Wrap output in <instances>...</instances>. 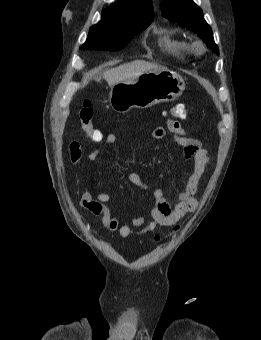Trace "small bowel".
Here are the masks:
<instances>
[{
    "label": "small bowel",
    "instance_id": "1",
    "mask_svg": "<svg viewBox=\"0 0 261 340\" xmlns=\"http://www.w3.org/2000/svg\"><path fill=\"white\" fill-rule=\"evenodd\" d=\"M167 128L174 134L177 144L183 148L185 157L193 160V171L187 179L185 188L180 192L174 204H170L166 200L162 189H153L152 195L155 199V204L150 211L151 221L145 222L143 218H136L131 224H121L120 221L110 213L107 207V203L111 197L108 192L102 191L94 195L90 190H86L79 196L78 203L84 210L101 217L103 227L110 231L118 232L122 238L129 237L134 230H136L138 236H141L155 231L160 226L173 225L184 217V215L193 212L197 208L198 202L195 195L198 191L202 176L210 163L209 153L202 147L198 140L186 135V132L179 122L168 120ZM165 134L166 130L161 126L152 130V137L155 139H162ZM102 140H104L107 145H111L116 142L117 135L110 133L103 137ZM68 152L73 164L81 165L83 163V151L78 142H71ZM101 152V148H95L87 155L86 161L94 163ZM127 178L132 184L142 189L149 188L148 184L135 172H128ZM75 193L78 196L77 189Z\"/></svg>",
    "mask_w": 261,
    "mask_h": 340
}]
</instances>
